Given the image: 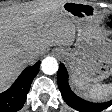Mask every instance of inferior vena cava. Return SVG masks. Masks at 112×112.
I'll list each match as a JSON object with an SVG mask.
<instances>
[{"mask_svg":"<svg viewBox=\"0 0 112 112\" xmlns=\"http://www.w3.org/2000/svg\"><path fill=\"white\" fill-rule=\"evenodd\" d=\"M35 58L36 55L34 53H27L22 56V59L25 63H31L34 61Z\"/></svg>","mask_w":112,"mask_h":112,"instance_id":"inferior-vena-cava-1","label":"inferior vena cava"}]
</instances>
